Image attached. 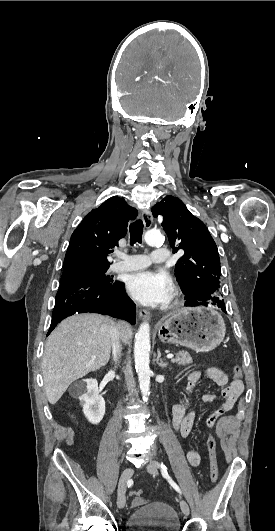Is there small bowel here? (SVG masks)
<instances>
[{
	"label": "small bowel",
	"mask_w": 275,
	"mask_h": 531,
	"mask_svg": "<svg viewBox=\"0 0 275 531\" xmlns=\"http://www.w3.org/2000/svg\"><path fill=\"white\" fill-rule=\"evenodd\" d=\"M203 375L211 379L218 387L223 388L222 396L224 402L208 416L206 425L209 428H212L222 416L233 409L243 391V382L241 378L234 377L229 380L226 373L217 367H209L204 374L200 371L189 372L187 375L188 385L186 388V394L183 399L172 408L173 427L180 437L186 438L192 433L196 417V411L191 408L193 404V395ZM216 399L217 396L213 393H205L201 396V400L204 403H213ZM186 457L189 464L192 466H198L202 461V455L195 448L189 450ZM144 503L145 500L140 496H137L131 500L130 506L132 508H138Z\"/></svg>",
	"instance_id": "obj_1"
}]
</instances>
